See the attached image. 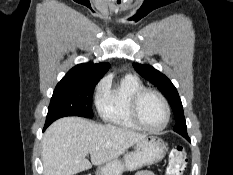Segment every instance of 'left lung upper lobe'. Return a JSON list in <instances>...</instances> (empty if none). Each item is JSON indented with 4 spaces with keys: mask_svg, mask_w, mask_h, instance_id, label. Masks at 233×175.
I'll use <instances>...</instances> for the list:
<instances>
[{
    "mask_svg": "<svg viewBox=\"0 0 233 175\" xmlns=\"http://www.w3.org/2000/svg\"><path fill=\"white\" fill-rule=\"evenodd\" d=\"M135 70L146 80L157 86L170 103L175 115L176 124L174 131L189 139L186 130V121L183 113V106L179 94L172 82L161 72L149 65L133 64Z\"/></svg>",
    "mask_w": 233,
    "mask_h": 175,
    "instance_id": "1",
    "label": "left lung upper lobe"
}]
</instances>
